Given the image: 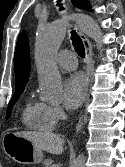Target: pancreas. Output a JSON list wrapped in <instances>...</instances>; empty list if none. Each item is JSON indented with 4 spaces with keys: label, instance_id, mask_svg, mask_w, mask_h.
<instances>
[{
    "label": "pancreas",
    "instance_id": "obj_1",
    "mask_svg": "<svg viewBox=\"0 0 125 167\" xmlns=\"http://www.w3.org/2000/svg\"><path fill=\"white\" fill-rule=\"evenodd\" d=\"M42 167H54L53 166V160H51V159L44 160Z\"/></svg>",
    "mask_w": 125,
    "mask_h": 167
}]
</instances>
